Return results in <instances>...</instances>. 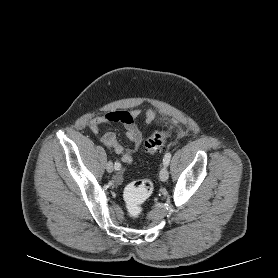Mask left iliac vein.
<instances>
[{
	"mask_svg": "<svg viewBox=\"0 0 278 278\" xmlns=\"http://www.w3.org/2000/svg\"><path fill=\"white\" fill-rule=\"evenodd\" d=\"M160 179L161 181L165 182L167 181L168 177H169V172L166 166H164L161 171H160Z\"/></svg>",
	"mask_w": 278,
	"mask_h": 278,
	"instance_id": "1",
	"label": "left iliac vein"
}]
</instances>
